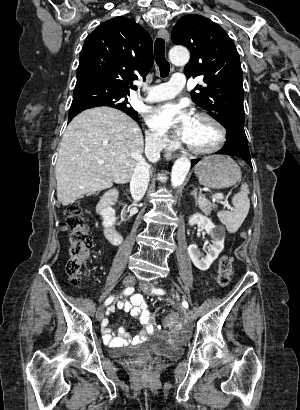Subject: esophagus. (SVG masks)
<instances>
[{"instance_id": "34e87169", "label": "esophagus", "mask_w": 300, "mask_h": 410, "mask_svg": "<svg viewBox=\"0 0 300 410\" xmlns=\"http://www.w3.org/2000/svg\"><path fill=\"white\" fill-rule=\"evenodd\" d=\"M158 36L164 39L166 42H169V33L166 29L164 28L159 29ZM175 157H176V154L169 153L166 155L167 160L174 159Z\"/></svg>"}]
</instances>
